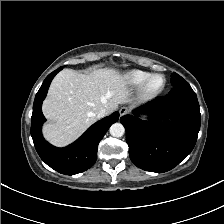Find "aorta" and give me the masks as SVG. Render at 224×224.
Wrapping results in <instances>:
<instances>
[{
	"instance_id": "obj_1",
	"label": "aorta",
	"mask_w": 224,
	"mask_h": 224,
	"mask_svg": "<svg viewBox=\"0 0 224 224\" xmlns=\"http://www.w3.org/2000/svg\"><path fill=\"white\" fill-rule=\"evenodd\" d=\"M110 134L113 137H122L125 132V128L121 123H114L109 129Z\"/></svg>"
}]
</instances>
